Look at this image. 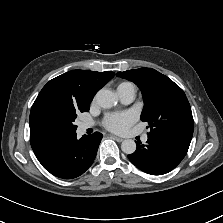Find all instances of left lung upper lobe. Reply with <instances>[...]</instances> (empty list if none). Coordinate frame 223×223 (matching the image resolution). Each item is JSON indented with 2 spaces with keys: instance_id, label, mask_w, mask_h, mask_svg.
<instances>
[{
  "instance_id": "5c2ea615",
  "label": "left lung upper lobe",
  "mask_w": 223,
  "mask_h": 223,
  "mask_svg": "<svg viewBox=\"0 0 223 223\" xmlns=\"http://www.w3.org/2000/svg\"><path fill=\"white\" fill-rule=\"evenodd\" d=\"M117 76L141 89L144 98L141 120L151 128L148 135L190 145L194 129L191 107L176 83L151 68L118 72Z\"/></svg>"
}]
</instances>
